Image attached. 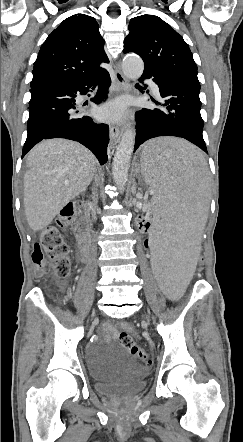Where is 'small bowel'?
<instances>
[{
	"instance_id": "obj_1",
	"label": "small bowel",
	"mask_w": 243,
	"mask_h": 442,
	"mask_svg": "<svg viewBox=\"0 0 243 442\" xmlns=\"http://www.w3.org/2000/svg\"><path fill=\"white\" fill-rule=\"evenodd\" d=\"M104 330L106 332L107 339H114L117 335V329L111 324L105 325Z\"/></svg>"
}]
</instances>
